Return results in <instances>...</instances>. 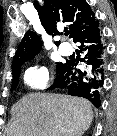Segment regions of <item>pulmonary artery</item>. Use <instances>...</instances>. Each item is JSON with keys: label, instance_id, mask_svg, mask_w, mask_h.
Returning <instances> with one entry per match:
<instances>
[{"label": "pulmonary artery", "instance_id": "1", "mask_svg": "<svg viewBox=\"0 0 117 136\" xmlns=\"http://www.w3.org/2000/svg\"><path fill=\"white\" fill-rule=\"evenodd\" d=\"M59 50H60V52H61L63 55H69V54L72 52L71 47H69V46H64V45H61V46L59 47Z\"/></svg>", "mask_w": 117, "mask_h": 136}]
</instances>
